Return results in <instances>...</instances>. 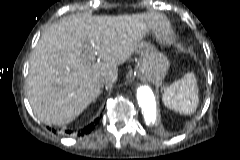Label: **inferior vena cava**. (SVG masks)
I'll list each match as a JSON object with an SVG mask.
<instances>
[{
	"label": "inferior vena cava",
	"instance_id": "602c4592",
	"mask_svg": "<svg viewBox=\"0 0 240 160\" xmlns=\"http://www.w3.org/2000/svg\"><path fill=\"white\" fill-rule=\"evenodd\" d=\"M107 82H109V78H103V79L101 80V83H102V84H105V83H107Z\"/></svg>",
	"mask_w": 240,
	"mask_h": 160
}]
</instances>
